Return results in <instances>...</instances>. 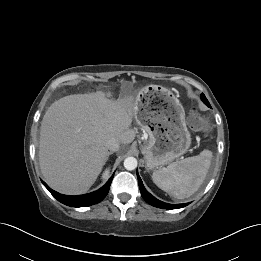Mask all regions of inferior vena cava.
Returning <instances> with one entry per match:
<instances>
[{
  "mask_svg": "<svg viewBox=\"0 0 261 261\" xmlns=\"http://www.w3.org/2000/svg\"><path fill=\"white\" fill-rule=\"evenodd\" d=\"M120 143L116 138H110L106 141L105 146L110 151L116 152L119 150Z\"/></svg>",
  "mask_w": 261,
  "mask_h": 261,
  "instance_id": "602c4592",
  "label": "inferior vena cava"
}]
</instances>
